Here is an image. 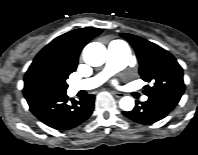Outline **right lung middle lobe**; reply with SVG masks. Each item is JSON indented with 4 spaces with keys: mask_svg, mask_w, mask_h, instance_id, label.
<instances>
[{
    "mask_svg": "<svg viewBox=\"0 0 198 155\" xmlns=\"http://www.w3.org/2000/svg\"><path fill=\"white\" fill-rule=\"evenodd\" d=\"M71 73L63 69L44 67L32 75L31 85L37 95L65 93L68 87L66 79Z\"/></svg>",
    "mask_w": 198,
    "mask_h": 155,
    "instance_id": "1",
    "label": "right lung middle lobe"
}]
</instances>
